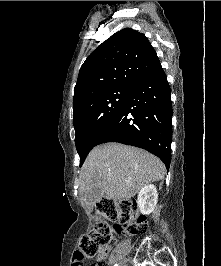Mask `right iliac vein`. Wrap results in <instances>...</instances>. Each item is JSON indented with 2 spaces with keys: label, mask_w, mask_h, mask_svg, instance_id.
Returning <instances> with one entry per match:
<instances>
[{
  "label": "right iliac vein",
  "mask_w": 221,
  "mask_h": 266,
  "mask_svg": "<svg viewBox=\"0 0 221 266\" xmlns=\"http://www.w3.org/2000/svg\"><path fill=\"white\" fill-rule=\"evenodd\" d=\"M121 266H127V265H126V263H125V261L122 263V265H121Z\"/></svg>",
  "instance_id": "right-iliac-vein-1"
}]
</instances>
